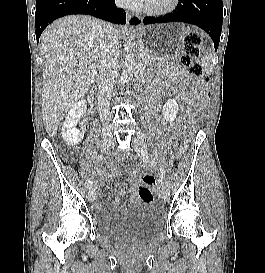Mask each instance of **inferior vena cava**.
Instances as JSON below:
<instances>
[{
	"mask_svg": "<svg viewBox=\"0 0 265 273\" xmlns=\"http://www.w3.org/2000/svg\"><path fill=\"white\" fill-rule=\"evenodd\" d=\"M128 0H116L118 7H126ZM101 65L98 74L100 81L98 89V112L103 122V133L109 134L110 100L115 83V76L118 72V41L115 30L109 25H104L101 33Z\"/></svg>",
	"mask_w": 265,
	"mask_h": 273,
	"instance_id": "obj_1",
	"label": "inferior vena cava"
}]
</instances>
